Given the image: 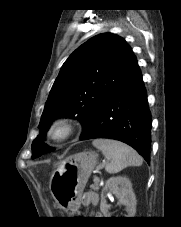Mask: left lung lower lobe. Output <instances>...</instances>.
Segmentation results:
<instances>
[{
	"label": "left lung lower lobe",
	"mask_w": 181,
	"mask_h": 227,
	"mask_svg": "<svg viewBox=\"0 0 181 227\" xmlns=\"http://www.w3.org/2000/svg\"><path fill=\"white\" fill-rule=\"evenodd\" d=\"M151 127L146 90L136 61L106 99L91 129L81 139L109 138L122 141L149 162Z\"/></svg>",
	"instance_id": "left-lung-lower-lobe-1"
}]
</instances>
